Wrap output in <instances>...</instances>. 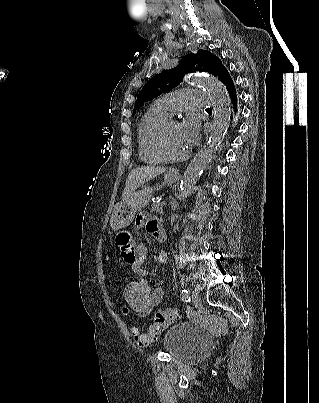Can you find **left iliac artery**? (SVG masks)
<instances>
[{"label":"left iliac artery","mask_w":319,"mask_h":403,"mask_svg":"<svg viewBox=\"0 0 319 403\" xmlns=\"http://www.w3.org/2000/svg\"><path fill=\"white\" fill-rule=\"evenodd\" d=\"M181 299L185 302H189L190 301V296L189 293L187 291V289L183 288L181 291Z\"/></svg>","instance_id":"1"}]
</instances>
